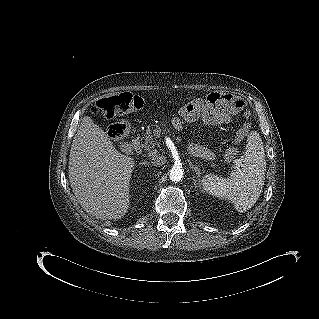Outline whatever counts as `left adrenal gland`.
<instances>
[{
	"mask_svg": "<svg viewBox=\"0 0 319 319\" xmlns=\"http://www.w3.org/2000/svg\"><path fill=\"white\" fill-rule=\"evenodd\" d=\"M189 166L192 169V171L196 172V174H199V169L195 165H193L192 162H189Z\"/></svg>",
	"mask_w": 319,
	"mask_h": 319,
	"instance_id": "obj_1",
	"label": "left adrenal gland"
}]
</instances>
